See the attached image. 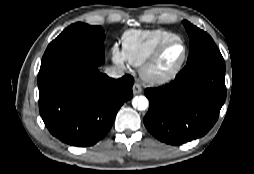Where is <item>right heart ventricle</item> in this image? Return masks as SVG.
Here are the masks:
<instances>
[{
  "label": "right heart ventricle",
  "instance_id": "obj_1",
  "mask_svg": "<svg viewBox=\"0 0 254 174\" xmlns=\"http://www.w3.org/2000/svg\"><path fill=\"white\" fill-rule=\"evenodd\" d=\"M177 35L165 29H131L122 35V49L126 61L133 66L142 65L163 42Z\"/></svg>",
  "mask_w": 254,
  "mask_h": 174
}]
</instances>
